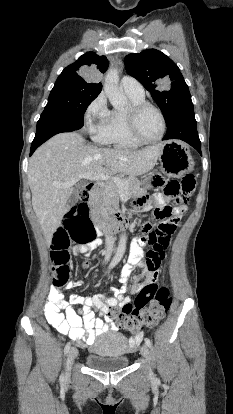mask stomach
<instances>
[{
	"label": "stomach",
	"instance_id": "1",
	"mask_svg": "<svg viewBox=\"0 0 233 414\" xmlns=\"http://www.w3.org/2000/svg\"><path fill=\"white\" fill-rule=\"evenodd\" d=\"M162 148L158 157L162 170L170 176L180 177L193 169V159L186 147L177 141H166L161 143ZM144 177V182H149V178ZM140 193H133L137 196Z\"/></svg>",
	"mask_w": 233,
	"mask_h": 414
}]
</instances>
